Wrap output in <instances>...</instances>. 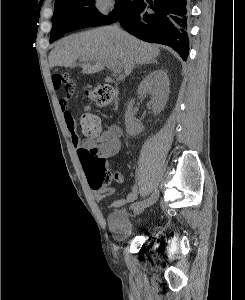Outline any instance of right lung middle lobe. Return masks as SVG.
Instances as JSON below:
<instances>
[{
	"instance_id": "right-lung-middle-lobe-1",
	"label": "right lung middle lobe",
	"mask_w": 245,
	"mask_h": 300,
	"mask_svg": "<svg viewBox=\"0 0 245 300\" xmlns=\"http://www.w3.org/2000/svg\"><path fill=\"white\" fill-rule=\"evenodd\" d=\"M137 1L116 0L114 10L108 16H105L97 10L95 0H58L55 2L54 7L50 42L58 38L55 23L60 19L80 23L84 28L112 24L128 12Z\"/></svg>"
}]
</instances>
